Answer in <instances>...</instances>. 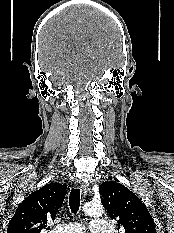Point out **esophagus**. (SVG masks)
<instances>
[{
	"label": "esophagus",
	"instance_id": "esophagus-1",
	"mask_svg": "<svg viewBox=\"0 0 174 233\" xmlns=\"http://www.w3.org/2000/svg\"><path fill=\"white\" fill-rule=\"evenodd\" d=\"M79 188H80L81 193H82L83 196L87 195L88 187H87L86 184L81 183Z\"/></svg>",
	"mask_w": 174,
	"mask_h": 233
}]
</instances>
